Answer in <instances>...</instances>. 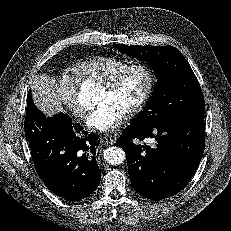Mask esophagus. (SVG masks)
<instances>
[{
	"label": "esophagus",
	"mask_w": 231,
	"mask_h": 231,
	"mask_svg": "<svg viewBox=\"0 0 231 231\" xmlns=\"http://www.w3.org/2000/svg\"><path fill=\"white\" fill-rule=\"evenodd\" d=\"M101 141L104 142L105 144H113L115 143L116 138L110 134H106L102 137Z\"/></svg>",
	"instance_id": "obj_1"
}]
</instances>
